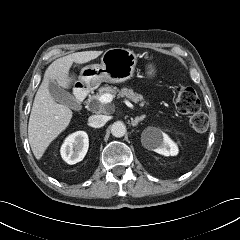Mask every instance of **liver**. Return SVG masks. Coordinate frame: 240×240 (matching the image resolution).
I'll list each match as a JSON object with an SVG mask.
<instances>
[{
    "label": "liver",
    "instance_id": "obj_1",
    "mask_svg": "<svg viewBox=\"0 0 240 240\" xmlns=\"http://www.w3.org/2000/svg\"><path fill=\"white\" fill-rule=\"evenodd\" d=\"M101 54L102 51L76 52L55 60L46 69L35 95L28 124V139L36 159H41L50 143L67 128L72 118V111L51 97L49 82L56 80L61 87L69 88L75 80L74 76H69L73 62L84 64Z\"/></svg>",
    "mask_w": 240,
    "mask_h": 240
}]
</instances>
